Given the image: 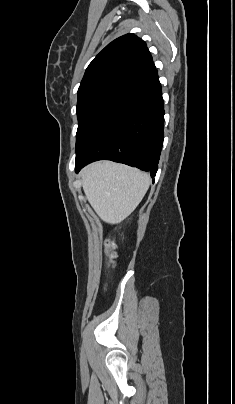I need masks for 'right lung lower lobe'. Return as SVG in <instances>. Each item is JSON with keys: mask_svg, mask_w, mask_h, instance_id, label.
Returning a JSON list of instances; mask_svg holds the SVG:
<instances>
[{"mask_svg": "<svg viewBox=\"0 0 235 404\" xmlns=\"http://www.w3.org/2000/svg\"><path fill=\"white\" fill-rule=\"evenodd\" d=\"M164 108L156 70L131 82L76 150L75 171L112 160L154 177L163 145Z\"/></svg>", "mask_w": 235, "mask_h": 404, "instance_id": "1", "label": "right lung lower lobe"}]
</instances>
